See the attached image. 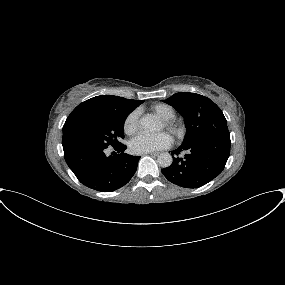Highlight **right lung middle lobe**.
Listing matches in <instances>:
<instances>
[{"label":"right lung middle lobe","mask_w":285,"mask_h":285,"mask_svg":"<svg viewBox=\"0 0 285 285\" xmlns=\"http://www.w3.org/2000/svg\"><path fill=\"white\" fill-rule=\"evenodd\" d=\"M129 113H110L92 119L77 130L69 139V146H108L121 145L124 138V122Z\"/></svg>","instance_id":"dd1d6c3e"}]
</instances>
